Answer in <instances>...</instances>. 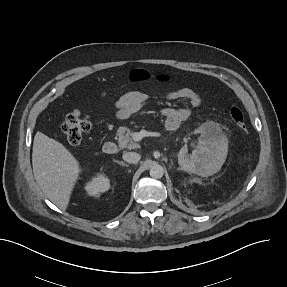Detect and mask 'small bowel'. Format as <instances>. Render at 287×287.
Wrapping results in <instances>:
<instances>
[{
	"label": "small bowel",
	"mask_w": 287,
	"mask_h": 287,
	"mask_svg": "<svg viewBox=\"0 0 287 287\" xmlns=\"http://www.w3.org/2000/svg\"><path fill=\"white\" fill-rule=\"evenodd\" d=\"M169 101L184 100L189 107L168 106L162 109L161 114L165 119V126L168 130L179 128L191 114L192 108L201 105L200 95L190 88H178L165 94ZM148 95L141 91H130L122 95L116 102L117 115L120 119H128L144 108L148 102Z\"/></svg>",
	"instance_id": "c3829d8e"
}]
</instances>
